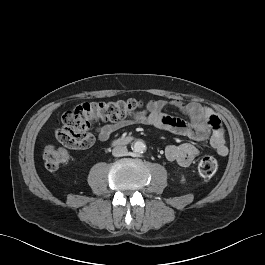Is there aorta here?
<instances>
[{
    "instance_id": "obj_1",
    "label": "aorta",
    "mask_w": 265,
    "mask_h": 265,
    "mask_svg": "<svg viewBox=\"0 0 265 265\" xmlns=\"http://www.w3.org/2000/svg\"><path fill=\"white\" fill-rule=\"evenodd\" d=\"M132 150L136 153H143L146 150V145L143 141H136L132 145Z\"/></svg>"
}]
</instances>
